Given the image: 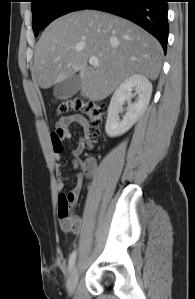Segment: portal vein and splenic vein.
Segmentation results:
<instances>
[{"label": "portal vein and splenic vein", "mask_w": 195, "mask_h": 299, "mask_svg": "<svg viewBox=\"0 0 195 299\" xmlns=\"http://www.w3.org/2000/svg\"><path fill=\"white\" fill-rule=\"evenodd\" d=\"M89 64L91 66H94V67L99 66V60H98V58L97 57H90L89 58Z\"/></svg>", "instance_id": "18ae733b"}]
</instances>
